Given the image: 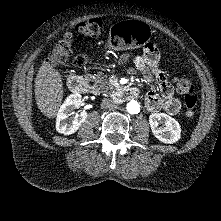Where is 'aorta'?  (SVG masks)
<instances>
[{
	"mask_svg": "<svg viewBox=\"0 0 221 221\" xmlns=\"http://www.w3.org/2000/svg\"><path fill=\"white\" fill-rule=\"evenodd\" d=\"M126 109L130 114H138L140 112V104L135 100H131L127 103Z\"/></svg>",
	"mask_w": 221,
	"mask_h": 221,
	"instance_id": "aorta-1",
	"label": "aorta"
}]
</instances>
